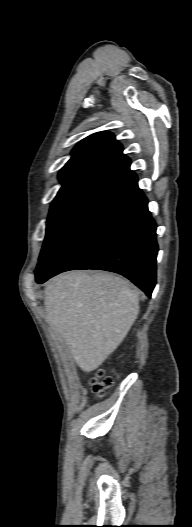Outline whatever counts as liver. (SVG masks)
<instances>
[{"instance_id":"1","label":"liver","mask_w":192,"mask_h":527,"mask_svg":"<svg viewBox=\"0 0 192 527\" xmlns=\"http://www.w3.org/2000/svg\"><path fill=\"white\" fill-rule=\"evenodd\" d=\"M44 293L47 322L85 372L106 360L139 314L137 290L111 273L62 274L47 283Z\"/></svg>"}]
</instances>
